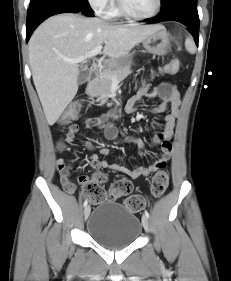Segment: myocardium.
<instances>
[{
  "label": "myocardium",
  "instance_id": "obj_1",
  "mask_svg": "<svg viewBox=\"0 0 231 281\" xmlns=\"http://www.w3.org/2000/svg\"><path fill=\"white\" fill-rule=\"evenodd\" d=\"M117 6L119 13L124 17L138 21H145L156 17L160 13L162 9V0H156L155 9L147 15H137L135 13H132L130 10H128L123 0H117Z\"/></svg>",
  "mask_w": 231,
  "mask_h": 281
}]
</instances>
